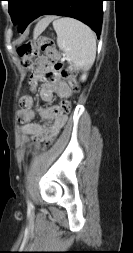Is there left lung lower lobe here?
Wrapping results in <instances>:
<instances>
[{
	"instance_id": "obj_1",
	"label": "left lung lower lobe",
	"mask_w": 133,
	"mask_h": 253,
	"mask_svg": "<svg viewBox=\"0 0 133 253\" xmlns=\"http://www.w3.org/2000/svg\"><path fill=\"white\" fill-rule=\"evenodd\" d=\"M103 1L105 0H28L18 23V31L23 33L34 19L52 14L78 19L87 24L99 37Z\"/></svg>"
}]
</instances>
